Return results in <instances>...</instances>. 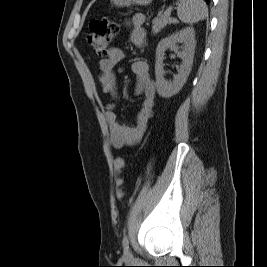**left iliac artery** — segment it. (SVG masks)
Listing matches in <instances>:
<instances>
[{"mask_svg": "<svg viewBox=\"0 0 267 267\" xmlns=\"http://www.w3.org/2000/svg\"><path fill=\"white\" fill-rule=\"evenodd\" d=\"M122 243L124 248H128L129 241H128V236L126 234L123 237Z\"/></svg>", "mask_w": 267, "mask_h": 267, "instance_id": "obj_1", "label": "left iliac artery"}]
</instances>
